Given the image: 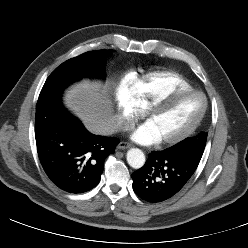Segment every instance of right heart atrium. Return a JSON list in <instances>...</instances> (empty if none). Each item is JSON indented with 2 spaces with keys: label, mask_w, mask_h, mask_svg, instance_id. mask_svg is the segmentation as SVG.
Returning <instances> with one entry per match:
<instances>
[{
  "label": "right heart atrium",
  "mask_w": 248,
  "mask_h": 248,
  "mask_svg": "<svg viewBox=\"0 0 248 248\" xmlns=\"http://www.w3.org/2000/svg\"><path fill=\"white\" fill-rule=\"evenodd\" d=\"M116 105L119 114L118 125L123 130H129L144 111L135 94L128 87H123L117 92Z\"/></svg>",
  "instance_id": "obj_1"
}]
</instances>
